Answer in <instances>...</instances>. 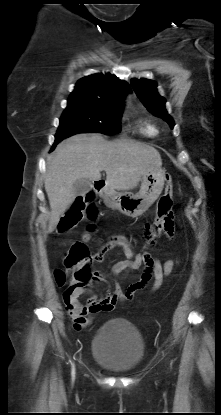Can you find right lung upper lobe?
<instances>
[{"label":"right lung upper lobe","mask_w":221,"mask_h":415,"mask_svg":"<svg viewBox=\"0 0 221 415\" xmlns=\"http://www.w3.org/2000/svg\"><path fill=\"white\" fill-rule=\"evenodd\" d=\"M130 89L126 81L111 74H93L80 79L68 101H90L100 104L120 105Z\"/></svg>","instance_id":"obj_1"}]
</instances>
